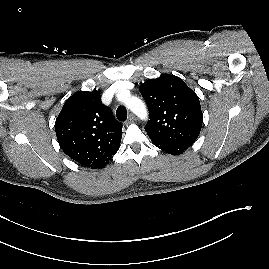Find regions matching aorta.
<instances>
[{
	"label": "aorta",
	"instance_id": "obj_1",
	"mask_svg": "<svg viewBox=\"0 0 269 269\" xmlns=\"http://www.w3.org/2000/svg\"><path fill=\"white\" fill-rule=\"evenodd\" d=\"M122 100L127 105V107L137 116L141 118H146L147 109L144 103L139 98L135 96L131 97V96L125 95Z\"/></svg>",
	"mask_w": 269,
	"mask_h": 269
}]
</instances>
